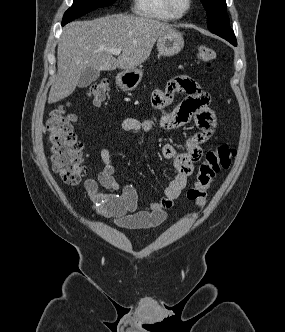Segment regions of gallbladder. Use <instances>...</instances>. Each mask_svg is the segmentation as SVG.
<instances>
[{"mask_svg":"<svg viewBox=\"0 0 285 332\" xmlns=\"http://www.w3.org/2000/svg\"><path fill=\"white\" fill-rule=\"evenodd\" d=\"M99 76H100L99 70L89 67L82 72L77 86L79 88H86L92 82L96 81L99 78Z\"/></svg>","mask_w":285,"mask_h":332,"instance_id":"bac80fb5","label":"gallbladder"}]
</instances>
